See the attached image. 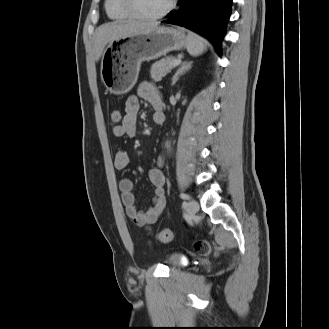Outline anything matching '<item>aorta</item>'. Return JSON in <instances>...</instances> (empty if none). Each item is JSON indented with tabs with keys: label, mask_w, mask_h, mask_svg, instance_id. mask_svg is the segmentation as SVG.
I'll return each mask as SVG.
<instances>
[{
	"label": "aorta",
	"mask_w": 329,
	"mask_h": 329,
	"mask_svg": "<svg viewBox=\"0 0 329 329\" xmlns=\"http://www.w3.org/2000/svg\"><path fill=\"white\" fill-rule=\"evenodd\" d=\"M166 146H167V148H170V146H169V144H168V143L166 144Z\"/></svg>",
	"instance_id": "762f6f07"
}]
</instances>
